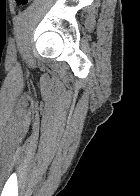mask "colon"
Listing matches in <instances>:
<instances>
[{"label":"colon","instance_id":"obj_1","mask_svg":"<svg viewBox=\"0 0 140 196\" xmlns=\"http://www.w3.org/2000/svg\"><path fill=\"white\" fill-rule=\"evenodd\" d=\"M19 4L25 3L27 0H16Z\"/></svg>","mask_w":140,"mask_h":196}]
</instances>
